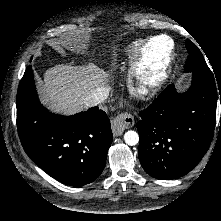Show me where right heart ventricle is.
Masks as SVG:
<instances>
[{"label":"right heart ventricle","instance_id":"e07e8e85","mask_svg":"<svg viewBox=\"0 0 221 221\" xmlns=\"http://www.w3.org/2000/svg\"><path fill=\"white\" fill-rule=\"evenodd\" d=\"M141 45L140 41L133 42L125 48V52L128 55V58H132L139 50Z\"/></svg>","mask_w":221,"mask_h":221}]
</instances>
